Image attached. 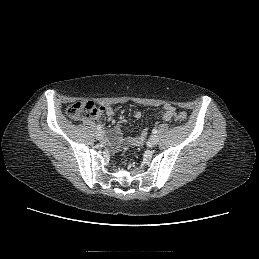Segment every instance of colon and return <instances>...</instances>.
<instances>
[{
	"instance_id": "5ec220e1",
	"label": "colon",
	"mask_w": 259,
	"mask_h": 259,
	"mask_svg": "<svg viewBox=\"0 0 259 259\" xmlns=\"http://www.w3.org/2000/svg\"><path fill=\"white\" fill-rule=\"evenodd\" d=\"M99 110L100 107L96 106L92 101H78L67 108V115L74 120L92 118L98 115ZM175 119L180 123H184L187 120V114L182 111L177 112Z\"/></svg>"
}]
</instances>
